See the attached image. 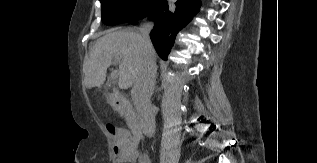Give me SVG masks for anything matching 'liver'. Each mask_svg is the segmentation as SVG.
I'll use <instances>...</instances> for the list:
<instances>
[{
  "label": "liver",
  "instance_id": "6515ba94",
  "mask_svg": "<svg viewBox=\"0 0 317 163\" xmlns=\"http://www.w3.org/2000/svg\"><path fill=\"white\" fill-rule=\"evenodd\" d=\"M118 58L119 87L126 89L134 85L142 64V36L134 30H117L97 39L85 67L86 88L100 87L106 78L112 59Z\"/></svg>",
  "mask_w": 317,
  "mask_h": 163
}]
</instances>
